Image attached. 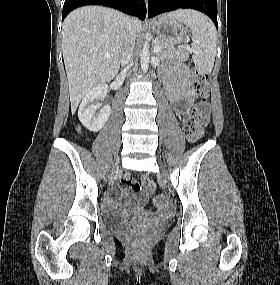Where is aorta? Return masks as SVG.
I'll list each match as a JSON object with an SVG mask.
<instances>
[{
    "instance_id": "1",
    "label": "aorta",
    "mask_w": 280,
    "mask_h": 285,
    "mask_svg": "<svg viewBox=\"0 0 280 285\" xmlns=\"http://www.w3.org/2000/svg\"><path fill=\"white\" fill-rule=\"evenodd\" d=\"M150 54H149V44L145 42L143 49L141 51V70L146 73L149 68Z\"/></svg>"
}]
</instances>
